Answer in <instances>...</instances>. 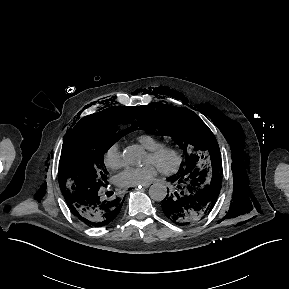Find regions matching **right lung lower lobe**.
<instances>
[{"label": "right lung lower lobe", "mask_w": 289, "mask_h": 289, "mask_svg": "<svg viewBox=\"0 0 289 289\" xmlns=\"http://www.w3.org/2000/svg\"><path fill=\"white\" fill-rule=\"evenodd\" d=\"M123 201L120 197H110L108 194L107 197H101L99 190L66 200L72 214L90 227L105 226L114 220Z\"/></svg>", "instance_id": "1"}]
</instances>
